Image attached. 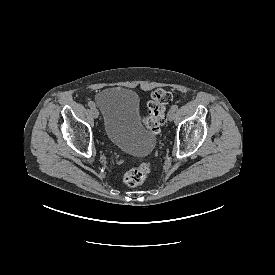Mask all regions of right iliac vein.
I'll return each mask as SVG.
<instances>
[{
	"label": "right iliac vein",
	"mask_w": 275,
	"mask_h": 275,
	"mask_svg": "<svg viewBox=\"0 0 275 275\" xmlns=\"http://www.w3.org/2000/svg\"><path fill=\"white\" fill-rule=\"evenodd\" d=\"M91 113L94 118H98L99 112L95 107L92 108Z\"/></svg>",
	"instance_id": "obj_1"
}]
</instances>
